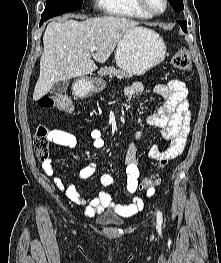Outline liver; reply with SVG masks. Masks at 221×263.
Here are the masks:
<instances>
[{"mask_svg": "<svg viewBox=\"0 0 221 263\" xmlns=\"http://www.w3.org/2000/svg\"><path fill=\"white\" fill-rule=\"evenodd\" d=\"M137 25L136 21L114 16L49 23L43 35L44 50L33 100L42 98L59 81L95 71L94 60L106 62L125 33L145 29ZM92 46H96L93 55Z\"/></svg>", "mask_w": 221, "mask_h": 263, "instance_id": "6515ba94", "label": "liver"}]
</instances>
